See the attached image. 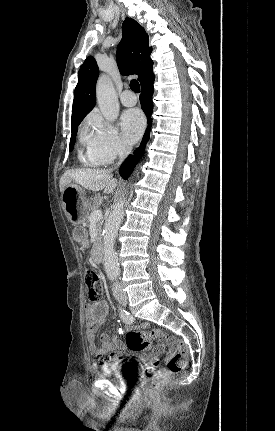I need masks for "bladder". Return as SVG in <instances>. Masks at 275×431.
<instances>
[{
    "label": "bladder",
    "instance_id": "1",
    "mask_svg": "<svg viewBox=\"0 0 275 431\" xmlns=\"http://www.w3.org/2000/svg\"><path fill=\"white\" fill-rule=\"evenodd\" d=\"M132 366L128 363H117V364H109L103 371L100 373L102 376H113L119 379L121 382H127V372L131 371Z\"/></svg>",
    "mask_w": 275,
    "mask_h": 431
}]
</instances>
